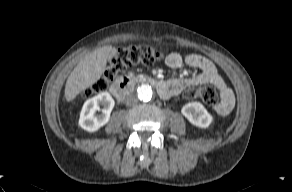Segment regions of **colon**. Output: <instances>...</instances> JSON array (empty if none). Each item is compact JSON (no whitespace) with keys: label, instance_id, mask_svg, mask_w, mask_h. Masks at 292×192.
<instances>
[{"label":"colon","instance_id":"5ec220e1","mask_svg":"<svg viewBox=\"0 0 292 192\" xmlns=\"http://www.w3.org/2000/svg\"><path fill=\"white\" fill-rule=\"evenodd\" d=\"M162 58V53L146 45H132L119 49L106 68L103 76L91 87L84 90L82 98H88L96 93L104 92L108 86L125 71L128 67L135 64L152 65ZM188 99H200L209 104L219 102V91L215 85H206L195 89H190L185 93Z\"/></svg>","mask_w":292,"mask_h":192}]
</instances>
